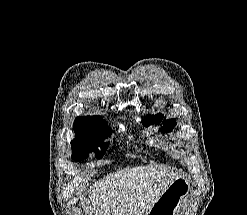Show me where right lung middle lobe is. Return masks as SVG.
Wrapping results in <instances>:
<instances>
[{"label":"right lung middle lobe","instance_id":"dd1d6c3e","mask_svg":"<svg viewBox=\"0 0 247 215\" xmlns=\"http://www.w3.org/2000/svg\"><path fill=\"white\" fill-rule=\"evenodd\" d=\"M73 128L77 135L71 142L73 160H83L87 158L91 151H96V158L103 157L109 143H103L102 139L110 136L112 131L101 117H77ZM99 146H101L102 150L97 152Z\"/></svg>","mask_w":247,"mask_h":215}]
</instances>
